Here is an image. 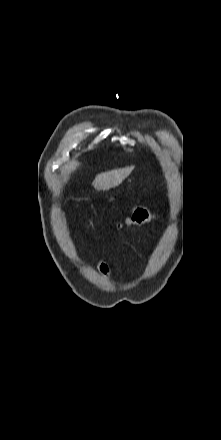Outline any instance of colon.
Segmentation results:
<instances>
[{
    "mask_svg": "<svg viewBox=\"0 0 221 440\" xmlns=\"http://www.w3.org/2000/svg\"><path fill=\"white\" fill-rule=\"evenodd\" d=\"M152 215L149 210L145 208H135L126 219L127 225H141L148 222Z\"/></svg>",
    "mask_w": 221,
    "mask_h": 440,
    "instance_id": "5ec220e1",
    "label": "colon"
}]
</instances>
